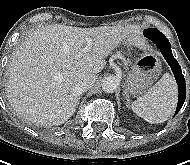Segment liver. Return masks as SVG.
Returning <instances> with one entry per match:
<instances>
[{
  "label": "liver",
  "instance_id": "liver-1",
  "mask_svg": "<svg viewBox=\"0 0 190 165\" xmlns=\"http://www.w3.org/2000/svg\"><path fill=\"white\" fill-rule=\"evenodd\" d=\"M138 32L134 25L37 28L20 43L9 63L8 102L17 115L36 125L64 123L78 104L77 76L101 72L105 59L119 44L127 39L129 45H138ZM87 38L92 39V46L84 53Z\"/></svg>",
  "mask_w": 190,
  "mask_h": 165
}]
</instances>
